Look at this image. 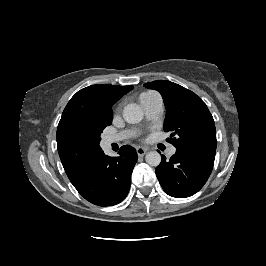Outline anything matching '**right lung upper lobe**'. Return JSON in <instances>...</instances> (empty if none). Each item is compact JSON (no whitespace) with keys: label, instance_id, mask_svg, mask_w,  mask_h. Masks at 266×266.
<instances>
[{"label":"right lung upper lobe","instance_id":"1","mask_svg":"<svg viewBox=\"0 0 266 266\" xmlns=\"http://www.w3.org/2000/svg\"><path fill=\"white\" fill-rule=\"evenodd\" d=\"M132 89L133 86L92 85L78 91L66 105L56 140L62 165L73 185L83 179L101 151L91 139L94 125L112 115V105Z\"/></svg>","mask_w":266,"mask_h":266}]
</instances>
